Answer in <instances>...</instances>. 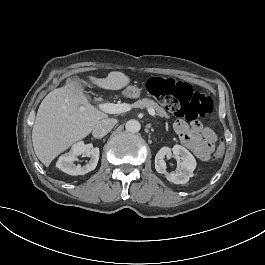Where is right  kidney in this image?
<instances>
[{
  "instance_id": "obj_1",
  "label": "right kidney",
  "mask_w": 265,
  "mask_h": 265,
  "mask_svg": "<svg viewBox=\"0 0 265 265\" xmlns=\"http://www.w3.org/2000/svg\"><path fill=\"white\" fill-rule=\"evenodd\" d=\"M89 156L91 159L89 163L85 166L80 164H75L76 156ZM100 155V149L94 147L91 143L84 144L83 142H78L73 145L70 153H67L60 157L57 167L62 169L64 172L70 175H84L85 173L92 171L96 168Z\"/></svg>"
}]
</instances>
